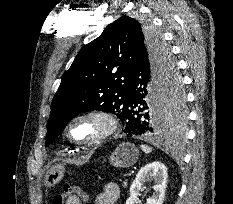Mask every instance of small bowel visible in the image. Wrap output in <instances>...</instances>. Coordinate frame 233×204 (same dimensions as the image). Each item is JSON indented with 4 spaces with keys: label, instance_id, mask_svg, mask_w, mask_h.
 Here are the masks:
<instances>
[{
    "label": "small bowel",
    "instance_id": "1",
    "mask_svg": "<svg viewBox=\"0 0 233 204\" xmlns=\"http://www.w3.org/2000/svg\"><path fill=\"white\" fill-rule=\"evenodd\" d=\"M120 196V190L116 183H107L103 191L95 198V204H116ZM86 199V198H85Z\"/></svg>",
    "mask_w": 233,
    "mask_h": 204
}]
</instances>
